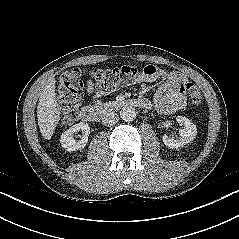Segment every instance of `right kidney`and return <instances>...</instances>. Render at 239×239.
Segmentation results:
<instances>
[{"mask_svg":"<svg viewBox=\"0 0 239 239\" xmlns=\"http://www.w3.org/2000/svg\"><path fill=\"white\" fill-rule=\"evenodd\" d=\"M80 130L83 132V135L81 136V139L79 141H76L73 138V134ZM89 133L90 127L87 123L80 122L71 126L61 135L60 142L62 144V147L67 151H77L83 149L88 142Z\"/></svg>","mask_w":239,"mask_h":239,"instance_id":"obj_1","label":"right kidney"}]
</instances>
